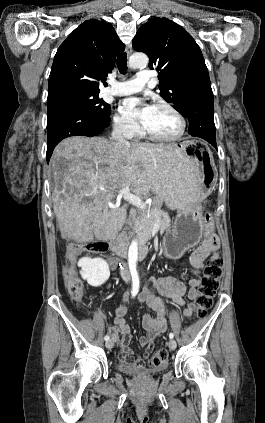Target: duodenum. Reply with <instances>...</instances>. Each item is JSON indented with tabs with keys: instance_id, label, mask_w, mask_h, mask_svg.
<instances>
[{
	"instance_id": "1",
	"label": "duodenum",
	"mask_w": 265,
	"mask_h": 423,
	"mask_svg": "<svg viewBox=\"0 0 265 423\" xmlns=\"http://www.w3.org/2000/svg\"><path fill=\"white\" fill-rule=\"evenodd\" d=\"M111 250L118 255L120 258H125V252L121 244V240L118 236L113 237L110 240ZM148 253V248L145 244H142L140 247V257L144 258Z\"/></svg>"
}]
</instances>
